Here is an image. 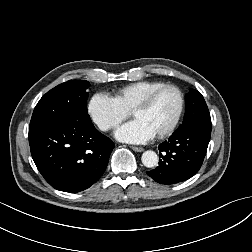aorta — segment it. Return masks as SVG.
<instances>
[{"label":"aorta","instance_id":"obj_1","mask_svg":"<svg viewBox=\"0 0 252 252\" xmlns=\"http://www.w3.org/2000/svg\"><path fill=\"white\" fill-rule=\"evenodd\" d=\"M142 163L147 168H153L158 165V156L154 151L148 150L142 154Z\"/></svg>","mask_w":252,"mask_h":252}]
</instances>
